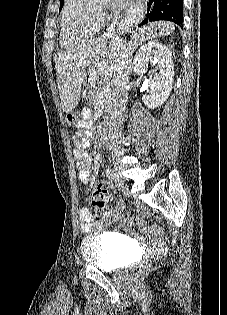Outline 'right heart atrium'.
Wrapping results in <instances>:
<instances>
[{
  "instance_id": "d8ad5b80",
  "label": "right heart atrium",
  "mask_w": 227,
  "mask_h": 315,
  "mask_svg": "<svg viewBox=\"0 0 227 315\" xmlns=\"http://www.w3.org/2000/svg\"><path fill=\"white\" fill-rule=\"evenodd\" d=\"M97 17L101 23H104L109 19L110 15L107 12H100L97 14Z\"/></svg>"
}]
</instances>
